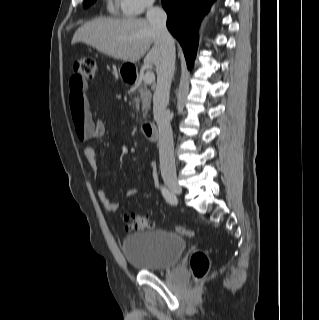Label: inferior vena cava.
<instances>
[{
    "label": "inferior vena cava",
    "mask_w": 319,
    "mask_h": 320,
    "mask_svg": "<svg viewBox=\"0 0 319 320\" xmlns=\"http://www.w3.org/2000/svg\"><path fill=\"white\" fill-rule=\"evenodd\" d=\"M146 18L158 34L162 48L160 65L157 68V85L153 95V114L159 130L160 170L163 176H176L173 135L170 118L166 112L169 92L175 70V43L166 27V12L154 7L151 2L147 8Z\"/></svg>",
    "instance_id": "602c4592"
}]
</instances>
